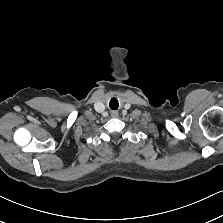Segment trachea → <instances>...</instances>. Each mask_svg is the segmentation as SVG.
Wrapping results in <instances>:
<instances>
[{
    "label": "trachea",
    "instance_id": "trachea-1",
    "mask_svg": "<svg viewBox=\"0 0 223 223\" xmlns=\"http://www.w3.org/2000/svg\"><path fill=\"white\" fill-rule=\"evenodd\" d=\"M109 106L111 109H114L116 110L118 108V101L116 98H112L110 103H109Z\"/></svg>",
    "mask_w": 223,
    "mask_h": 223
}]
</instances>
